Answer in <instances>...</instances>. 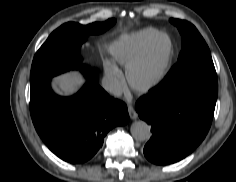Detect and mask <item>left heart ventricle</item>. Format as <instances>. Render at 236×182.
<instances>
[{"mask_svg":"<svg viewBox=\"0 0 236 182\" xmlns=\"http://www.w3.org/2000/svg\"><path fill=\"white\" fill-rule=\"evenodd\" d=\"M169 52V41L167 38L159 39L148 59L137 69L134 78L137 81H148L152 79L164 66Z\"/></svg>","mask_w":236,"mask_h":182,"instance_id":"b2bd125f","label":"left heart ventricle"}]
</instances>
